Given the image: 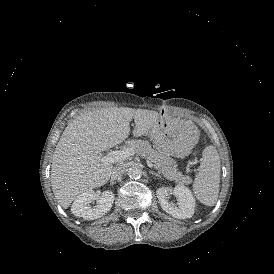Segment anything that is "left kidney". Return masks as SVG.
<instances>
[{
  "instance_id": "5707ae66",
  "label": "left kidney",
  "mask_w": 274,
  "mask_h": 274,
  "mask_svg": "<svg viewBox=\"0 0 274 274\" xmlns=\"http://www.w3.org/2000/svg\"><path fill=\"white\" fill-rule=\"evenodd\" d=\"M177 199V204L169 202L170 194ZM157 198L161 208L178 219L191 218L195 209V198L192 192L184 185H177L171 191L168 187L158 188L156 191Z\"/></svg>"
}]
</instances>
